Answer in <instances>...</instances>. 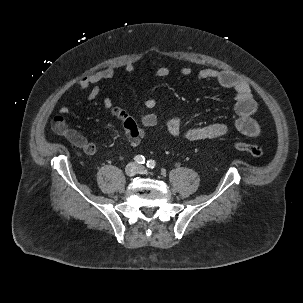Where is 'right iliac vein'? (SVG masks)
<instances>
[{"label": "right iliac vein", "mask_w": 303, "mask_h": 303, "mask_svg": "<svg viewBox=\"0 0 303 303\" xmlns=\"http://www.w3.org/2000/svg\"><path fill=\"white\" fill-rule=\"evenodd\" d=\"M137 173V166L134 163H129L125 168V174L133 177Z\"/></svg>", "instance_id": "obj_1"}]
</instances>
